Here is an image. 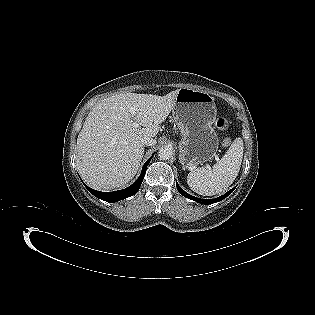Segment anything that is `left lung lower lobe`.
Returning a JSON list of instances; mask_svg holds the SVG:
<instances>
[{
    "instance_id": "left-lung-lower-lobe-1",
    "label": "left lung lower lobe",
    "mask_w": 315,
    "mask_h": 315,
    "mask_svg": "<svg viewBox=\"0 0 315 315\" xmlns=\"http://www.w3.org/2000/svg\"><path fill=\"white\" fill-rule=\"evenodd\" d=\"M176 186H177L178 191H179L183 196H185V197H187V198H189V199H191V200H194V201H196V202H199V203H201V204H205V205L212 204V203H216V202H219V201L223 200L225 197H227V196L234 190V188H233V189H231L230 191H228L225 195H222V196H220V197H218V198H215V199H200V198L194 197V196H192V195L186 193V192L178 185L177 182H176Z\"/></svg>"
}]
</instances>
